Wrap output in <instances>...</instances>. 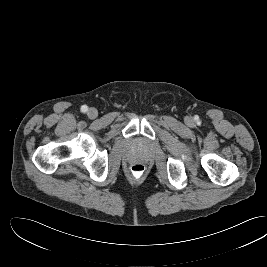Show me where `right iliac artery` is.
<instances>
[{
  "label": "right iliac artery",
  "instance_id": "right-iliac-artery-1",
  "mask_svg": "<svg viewBox=\"0 0 267 267\" xmlns=\"http://www.w3.org/2000/svg\"><path fill=\"white\" fill-rule=\"evenodd\" d=\"M88 111V107L86 105L81 106V112L85 113Z\"/></svg>",
  "mask_w": 267,
  "mask_h": 267
}]
</instances>
